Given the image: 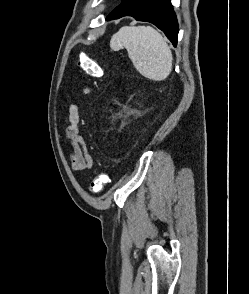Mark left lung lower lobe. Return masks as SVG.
<instances>
[{
  "mask_svg": "<svg viewBox=\"0 0 249 294\" xmlns=\"http://www.w3.org/2000/svg\"><path fill=\"white\" fill-rule=\"evenodd\" d=\"M127 15L139 21L153 23L176 46L178 23L170 0H124L107 16L106 20Z\"/></svg>",
  "mask_w": 249,
  "mask_h": 294,
  "instance_id": "obj_1",
  "label": "left lung lower lobe"
}]
</instances>
